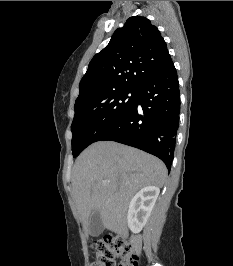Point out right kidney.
Here are the masks:
<instances>
[{
  "label": "right kidney",
  "mask_w": 233,
  "mask_h": 266,
  "mask_svg": "<svg viewBox=\"0 0 233 266\" xmlns=\"http://www.w3.org/2000/svg\"><path fill=\"white\" fill-rule=\"evenodd\" d=\"M159 192L156 186H146L131 199L127 222L133 233H139L146 224Z\"/></svg>",
  "instance_id": "obj_1"
}]
</instances>
